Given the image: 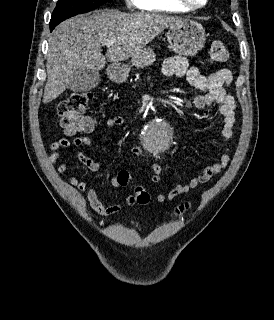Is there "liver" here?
<instances>
[{
  "mask_svg": "<svg viewBox=\"0 0 274 320\" xmlns=\"http://www.w3.org/2000/svg\"><path fill=\"white\" fill-rule=\"evenodd\" d=\"M178 20L182 18L156 12L125 14L118 10H96L94 14H82L62 22L48 40L44 104L70 88L74 72H98L105 68L106 60L120 64L135 58ZM106 42L114 44L108 46L105 58L101 48Z\"/></svg>",
  "mask_w": 274,
  "mask_h": 320,
  "instance_id": "liver-1",
  "label": "liver"
}]
</instances>
